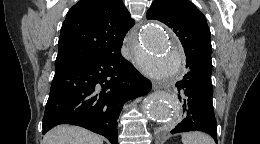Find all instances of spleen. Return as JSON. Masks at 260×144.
I'll use <instances>...</instances> for the list:
<instances>
[{"label":"spleen","mask_w":260,"mask_h":144,"mask_svg":"<svg viewBox=\"0 0 260 144\" xmlns=\"http://www.w3.org/2000/svg\"><path fill=\"white\" fill-rule=\"evenodd\" d=\"M183 144H214V140L202 132H188L182 134Z\"/></svg>","instance_id":"1"}]
</instances>
